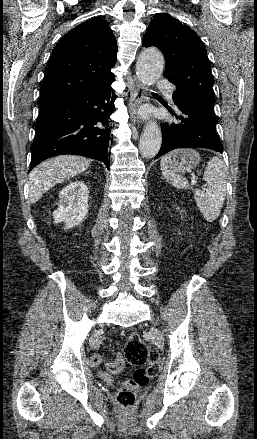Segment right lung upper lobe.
Returning <instances> with one entry per match:
<instances>
[{
    "mask_svg": "<svg viewBox=\"0 0 257 439\" xmlns=\"http://www.w3.org/2000/svg\"><path fill=\"white\" fill-rule=\"evenodd\" d=\"M116 38L108 23L93 18L70 30L45 68L38 106L95 89L114 78Z\"/></svg>",
    "mask_w": 257,
    "mask_h": 439,
    "instance_id": "1",
    "label": "right lung upper lobe"
}]
</instances>
